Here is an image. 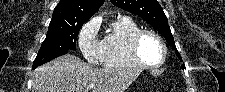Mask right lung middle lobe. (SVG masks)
I'll return each instance as SVG.
<instances>
[{
  "label": "right lung middle lobe",
  "instance_id": "obj_1",
  "mask_svg": "<svg viewBox=\"0 0 225 92\" xmlns=\"http://www.w3.org/2000/svg\"><path fill=\"white\" fill-rule=\"evenodd\" d=\"M86 21H73L66 25L49 26L45 40L33 62L32 69L76 49V40Z\"/></svg>",
  "mask_w": 225,
  "mask_h": 92
}]
</instances>
